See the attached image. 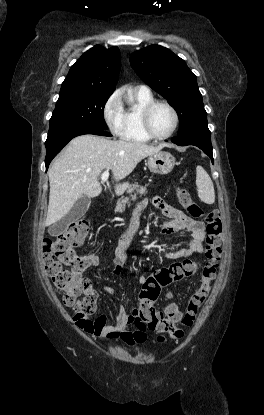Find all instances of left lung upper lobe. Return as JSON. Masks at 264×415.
<instances>
[{"mask_svg":"<svg viewBox=\"0 0 264 415\" xmlns=\"http://www.w3.org/2000/svg\"><path fill=\"white\" fill-rule=\"evenodd\" d=\"M130 63L138 76L175 108L180 121L178 135L207 125L197 77L183 59L167 48L152 45L134 52Z\"/></svg>","mask_w":264,"mask_h":415,"instance_id":"obj_1","label":"left lung upper lobe"}]
</instances>
